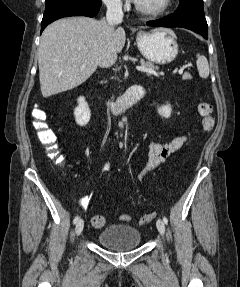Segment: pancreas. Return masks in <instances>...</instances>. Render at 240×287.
<instances>
[{"label":"pancreas","mask_w":240,"mask_h":287,"mask_svg":"<svg viewBox=\"0 0 240 287\" xmlns=\"http://www.w3.org/2000/svg\"><path fill=\"white\" fill-rule=\"evenodd\" d=\"M140 64L142 66H145L146 68H149V69H152V70H157L158 67L157 66H154V64L152 62H149V61H144L143 59L140 60ZM148 75L150 76L151 74L148 73ZM183 80H188V79H192V76L188 73V72H185L183 74V77H182Z\"/></svg>","instance_id":"cf45deb5"}]
</instances>
